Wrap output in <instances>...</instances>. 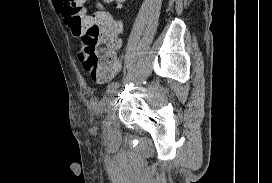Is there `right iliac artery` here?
I'll return each mask as SVG.
<instances>
[{"mask_svg": "<svg viewBox=\"0 0 272 183\" xmlns=\"http://www.w3.org/2000/svg\"><path fill=\"white\" fill-rule=\"evenodd\" d=\"M118 86H119V83H118V82H112V83H110V84L108 85V87H107L106 93H110V92L116 90V89L118 88Z\"/></svg>", "mask_w": 272, "mask_h": 183, "instance_id": "82829eb1", "label": "right iliac artery"}]
</instances>
